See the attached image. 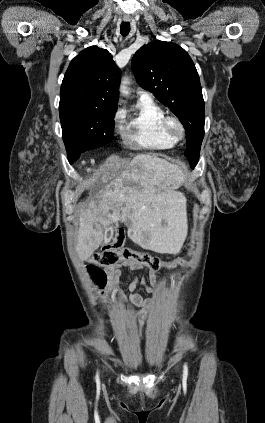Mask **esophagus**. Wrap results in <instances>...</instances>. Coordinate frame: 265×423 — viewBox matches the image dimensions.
<instances>
[{
	"label": "esophagus",
	"instance_id": "1",
	"mask_svg": "<svg viewBox=\"0 0 265 423\" xmlns=\"http://www.w3.org/2000/svg\"><path fill=\"white\" fill-rule=\"evenodd\" d=\"M123 19H124V21H129L130 20V18H128V17H124Z\"/></svg>",
	"mask_w": 265,
	"mask_h": 423
}]
</instances>
